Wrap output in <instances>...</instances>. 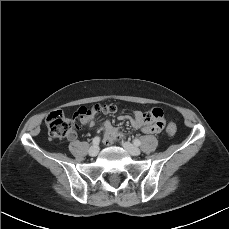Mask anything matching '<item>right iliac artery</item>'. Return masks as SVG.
Returning a JSON list of instances; mask_svg holds the SVG:
<instances>
[{"label":"right iliac artery","mask_w":229,"mask_h":229,"mask_svg":"<svg viewBox=\"0 0 229 229\" xmlns=\"http://www.w3.org/2000/svg\"><path fill=\"white\" fill-rule=\"evenodd\" d=\"M93 145H99L100 143V137L99 136H96L93 138V141H92Z\"/></svg>","instance_id":"obj_1"}]
</instances>
